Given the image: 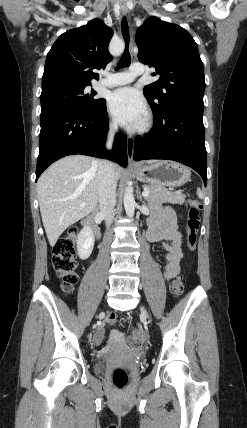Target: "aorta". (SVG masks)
I'll list each match as a JSON object with an SVG mask.
<instances>
[{
  "label": "aorta",
  "mask_w": 247,
  "mask_h": 428,
  "mask_svg": "<svg viewBox=\"0 0 247 428\" xmlns=\"http://www.w3.org/2000/svg\"><path fill=\"white\" fill-rule=\"evenodd\" d=\"M123 51V46L120 47V49L116 52H114L115 55H120V53ZM124 207L125 211L128 217H133L134 211H135V199L133 195V189L131 187H127L124 193L123 197Z\"/></svg>",
  "instance_id": "1"
}]
</instances>
